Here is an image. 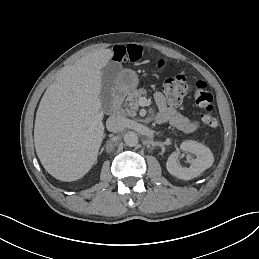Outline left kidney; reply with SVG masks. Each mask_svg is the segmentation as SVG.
<instances>
[{"instance_id": "5707ae66", "label": "left kidney", "mask_w": 259, "mask_h": 259, "mask_svg": "<svg viewBox=\"0 0 259 259\" xmlns=\"http://www.w3.org/2000/svg\"><path fill=\"white\" fill-rule=\"evenodd\" d=\"M180 149L196 155L189 168L182 167L178 163L179 151L172 153L166 163L168 172L179 179L190 180L199 176L207 168L211 167L214 161L211 150L205 145L193 140L185 141L180 145Z\"/></svg>"}]
</instances>
